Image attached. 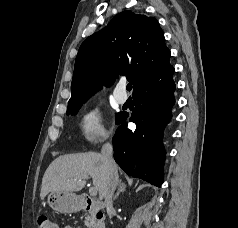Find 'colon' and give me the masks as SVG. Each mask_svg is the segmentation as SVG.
Segmentation results:
<instances>
[{
	"mask_svg": "<svg viewBox=\"0 0 238 228\" xmlns=\"http://www.w3.org/2000/svg\"><path fill=\"white\" fill-rule=\"evenodd\" d=\"M38 228H57L56 224L46 214H40L36 220Z\"/></svg>",
	"mask_w": 238,
	"mask_h": 228,
	"instance_id": "colon-1",
	"label": "colon"
}]
</instances>
